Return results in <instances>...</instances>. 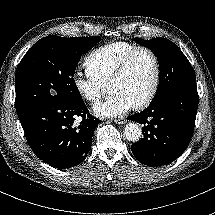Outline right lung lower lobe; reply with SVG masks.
Instances as JSON below:
<instances>
[{"mask_svg":"<svg viewBox=\"0 0 215 215\" xmlns=\"http://www.w3.org/2000/svg\"><path fill=\"white\" fill-rule=\"evenodd\" d=\"M17 114L36 156L60 169L79 165L85 159L101 122L88 114L83 101L45 99L27 105ZM76 116L82 118L78 127L74 126Z\"/></svg>","mask_w":215,"mask_h":215,"instance_id":"right-lung-lower-lobe-1","label":"right lung lower lobe"}]
</instances>
